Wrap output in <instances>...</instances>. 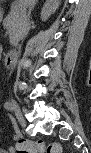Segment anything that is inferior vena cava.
Here are the masks:
<instances>
[{
	"label": "inferior vena cava",
	"mask_w": 91,
	"mask_h": 153,
	"mask_svg": "<svg viewBox=\"0 0 91 153\" xmlns=\"http://www.w3.org/2000/svg\"><path fill=\"white\" fill-rule=\"evenodd\" d=\"M34 3H35V0H29V10L33 6ZM29 16H30L29 12L27 14L25 12L21 14V17H22V32L20 35L21 39H23L27 34L28 25H29ZM15 53H20V50H15ZM17 57H18V54H13L11 63H16Z\"/></svg>",
	"instance_id": "inferior-vena-cava-1"
}]
</instances>
